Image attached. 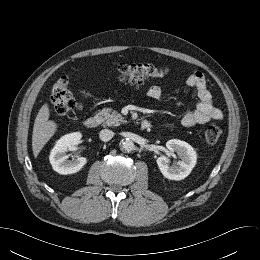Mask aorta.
I'll return each instance as SVG.
<instances>
[{
  "mask_svg": "<svg viewBox=\"0 0 260 260\" xmlns=\"http://www.w3.org/2000/svg\"><path fill=\"white\" fill-rule=\"evenodd\" d=\"M134 143L132 140L130 139H124L120 142V149L123 150V151H132L134 150Z\"/></svg>",
  "mask_w": 260,
  "mask_h": 260,
  "instance_id": "1",
  "label": "aorta"
}]
</instances>
